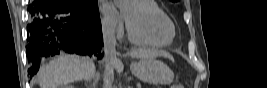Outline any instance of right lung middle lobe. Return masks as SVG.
Returning <instances> with one entry per match:
<instances>
[{
  "instance_id": "right-lung-middle-lobe-1",
  "label": "right lung middle lobe",
  "mask_w": 267,
  "mask_h": 88,
  "mask_svg": "<svg viewBox=\"0 0 267 88\" xmlns=\"http://www.w3.org/2000/svg\"><path fill=\"white\" fill-rule=\"evenodd\" d=\"M70 3L79 9H83L86 11H94L98 10L97 0H69Z\"/></svg>"
}]
</instances>
